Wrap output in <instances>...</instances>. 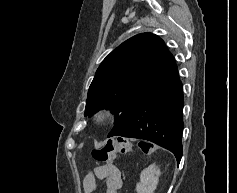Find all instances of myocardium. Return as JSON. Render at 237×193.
Instances as JSON below:
<instances>
[{
	"instance_id": "f54148a6",
	"label": "myocardium",
	"mask_w": 237,
	"mask_h": 193,
	"mask_svg": "<svg viewBox=\"0 0 237 193\" xmlns=\"http://www.w3.org/2000/svg\"><path fill=\"white\" fill-rule=\"evenodd\" d=\"M111 118L112 113L107 109H101L97 111L93 117L94 121L99 125H105L111 120Z\"/></svg>"
}]
</instances>
